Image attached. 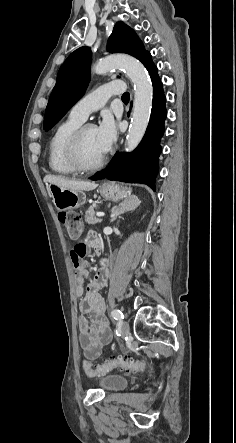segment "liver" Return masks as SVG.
<instances>
[{"label": "liver", "mask_w": 236, "mask_h": 443, "mask_svg": "<svg viewBox=\"0 0 236 443\" xmlns=\"http://www.w3.org/2000/svg\"><path fill=\"white\" fill-rule=\"evenodd\" d=\"M44 182H49L50 184H54L64 189L74 191H90L94 190L97 187V184L95 182L70 180L61 176L54 175H46L44 177Z\"/></svg>", "instance_id": "liver-1"}]
</instances>
